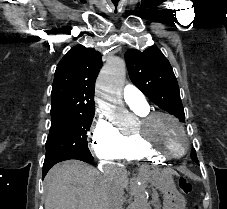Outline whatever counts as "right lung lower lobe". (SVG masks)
Listing matches in <instances>:
<instances>
[{"instance_id": "1", "label": "right lung lower lobe", "mask_w": 227, "mask_h": 209, "mask_svg": "<svg viewBox=\"0 0 227 209\" xmlns=\"http://www.w3.org/2000/svg\"><path fill=\"white\" fill-rule=\"evenodd\" d=\"M68 159H77V160H81V161H84V162H91L93 161V157L92 156H71V155H68V156H63V157H59V158H56L54 160H52L50 162V166H49V169L55 165L56 163L60 162V161H64V160H68ZM48 172V171H47ZM46 172V173H47ZM45 172H43V175L46 174Z\"/></svg>"}]
</instances>
